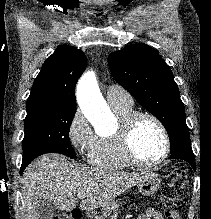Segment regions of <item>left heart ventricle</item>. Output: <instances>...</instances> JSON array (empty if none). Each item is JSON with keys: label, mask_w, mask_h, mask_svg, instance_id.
<instances>
[{"label": "left heart ventricle", "mask_w": 211, "mask_h": 219, "mask_svg": "<svg viewBox=\"0 0 211 219\" xmlns=\"http://www.w3.org/2000/svg\"><path fill=\"white\" fill-rule=\"evenodd\" d=\"M133 149L145 162L158 160L164 151V139L158 126L149 118H141L133 132Z\"/></svg>", "instance_id": "left-heart-ventricle-1"}]
</instances>
